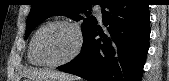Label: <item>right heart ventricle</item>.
<instances>
[{"label": "right heart ventricle", "instance_id": "1", "mask_svg": "<svg viewBox=\"0 0 169 81\" xmlns=\"http://www.w3.org/2000/svg\"><path fill=\"white\" fill-rule=\"evenodd\" d=\"M45 25L40 26L32 35L29 45H28V52H27V58H28V62L31 65L34 66H43L42 62L38 59L36 52H35V41H36V37L37 34L39 33V31L44 27Z\"/></svg>", "mask_w": 169, "mask_h": 81}]
</instances>
